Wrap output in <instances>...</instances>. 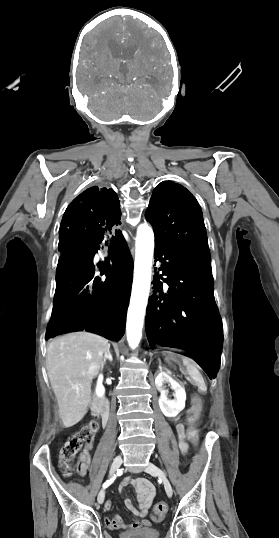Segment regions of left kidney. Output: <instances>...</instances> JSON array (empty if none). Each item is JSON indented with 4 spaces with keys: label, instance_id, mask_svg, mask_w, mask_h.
Masks as SVG:
<instances>
[{
    "label": "left kidney",
    "instance_id": "obj_1",
    "mask_svg": "<svg viewBox=\"0 0 279 538\" xmlns=\"http://www.w3.org/2000/svg\"><path fill=\"white\" fill-rule=\"evenodd\" d=\"M171 372H159L155 378L156 388H158L161 396L159 398V406L161 412L167 418H175L179 412H182L185 408L186 392L183 386H180L178 382L172 380L170 376ZM164 384H171V390H174V400L167 398L169 392L163 388Z\"/></svg>",
    "mask_w": 279,
    "mask_h": 538
}]
</instances>
